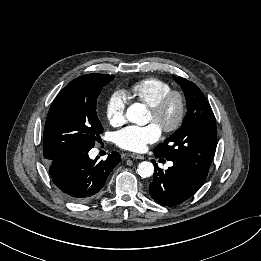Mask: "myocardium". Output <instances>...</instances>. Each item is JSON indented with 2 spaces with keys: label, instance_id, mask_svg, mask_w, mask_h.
<instances>
[{
  "label": "myocardium",
  "instance_id": "myocardium-1",
  "mask_svg": "<svg viewBox=\"0 0 261 261\" xmlns=\"http://www.w3.org/2000/svg\"><path fill=\"white\" fill-rule=\"evenodd\" d=\"M176 105V115L170 122H162L164 115L172 105ZM150 113L155 121L160 122V129L165 133H173L177 131L186 115V100L182 92L171 90L167 93L155 106L150 108Z\"/></svg>",
  "mask_w": 261,
  "mask_h": 261
}]
</instances>
